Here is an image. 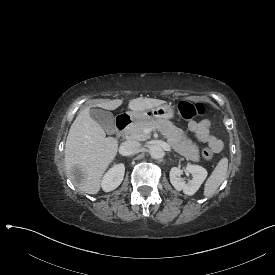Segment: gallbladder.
Segmentation results:
<instances>
[{
	"label": "gallbladder",
	"instance_id": "1",
	"mask_svg": "<svg viewBox=\"0 0 275 275\" xmlns=\"http://www.w3.org/2000/svg\"><path fill=\"white\" fill-rule=\"evenodd\" d=\"M90 115L101 125L107 134L111 135L116 133V123L112 113L92 108L90 110Z\"/></svg>",
	"mask_w": 275,
	"mask_h": 275
}]
</instances>
